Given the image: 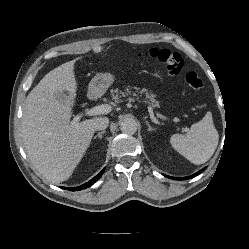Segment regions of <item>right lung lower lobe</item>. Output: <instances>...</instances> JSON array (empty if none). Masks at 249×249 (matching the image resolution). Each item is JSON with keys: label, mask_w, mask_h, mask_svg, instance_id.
<instances>
[{"label": "right lung lower lobe", "mask_w": 249, "mask_h": 249, "mask_svg": "<svg viewBox=\"0 0 249 249\" xmlns=\"http://www.w3.org/2000/svg\"><path fill=\"white\" fill-rule=\"evenodd\" d=\"M103 172H104V169L97 176H95L93 179H91L89 182H87L79 187H73V188L61 187V188L67 189L70 191H79V190L85 189V188L89 187L90 185L94 184L102 176Z\"/></svg>", "instance_id": "obj_1"}]
</instances>
